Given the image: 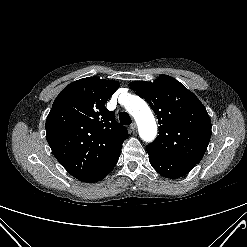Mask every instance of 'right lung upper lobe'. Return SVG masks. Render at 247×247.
<instances>
[{
  "instance_id": "obj_1",
  "label": "right lung upper lobe",
  "mask_w": 247,
  "mask_h": 247,
  "mask_svg": "<svg viewBox=\"0 0 247 247\" xmlns=\"http://www.w3.org/2000/svg\"><path fill=\"white\" fill-rule=\"evenodd\" d=\"M119 83L94 77L67 85L46 119V139L67 172L81 180L120 154L128 137L105 107Z\"/></svg>"
}]
</instances>
